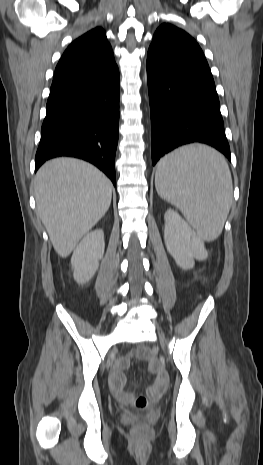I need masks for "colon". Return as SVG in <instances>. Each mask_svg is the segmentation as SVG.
<instances>
[{
	"label": "colon",
	"instance_id": "colon-1",
	"mask_svg": "<svg viewBox=\"0 0 263 465\" xmlns=\"http://www.w3.org/2000/svg\"><path fill=\"white\" fill-rule=\"evenodd\" d=\"M160 394H161V393H159V392H155V393L151 394L150 396H151L152 398H156V397H158ZM148 404H149L148 400H147L146 398H144V397H140V398H138V399L136 400V406L139 407V408H145V407L148 406ZM148 430H149L148 427H147L146 425H143V424H140V425L137 427V431H138L139 433H146V432H148Z\"/></svg>",
	"mask_w": 263,
	"mask_h": 465
}]
</instances>
